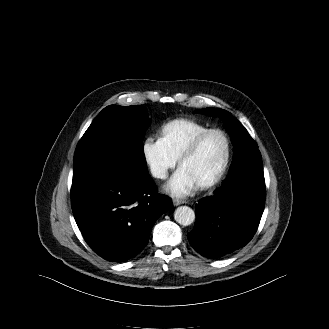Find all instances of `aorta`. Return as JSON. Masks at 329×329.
I'll return each mask as SVG.
<instances>
[{
    "instance_id": "762f6f07",
    "label": "aorta",
    "mask_w": 329,
    "mask_h": 329,
    "mask_svg": "<svg viewBox=\"0 0 329 329\" xmlns=\"http://www.w3.org/2000/svg\"><path fill=\"white\" fill-rule=\"evenodd\" d=\"M174 219L180 225L188 226L194 222L195 213L188 206H180L174 212Z\"/></svg>"
}]
</instances>
